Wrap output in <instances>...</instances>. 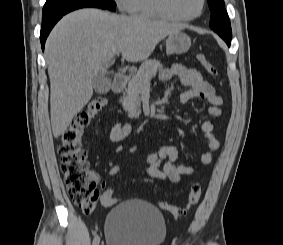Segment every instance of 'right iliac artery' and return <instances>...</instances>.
<instances>
[{
  "instance_id": "1",
  "label": "right iliac artery",
  "mask_w": 283,
  "mask_h": 245,
  "mask_svg": "<svg viewBox=\"0 0 283 245\" xmlns=\"http://www.w3.org/2000/svg\"><path fill=\"white\" fill-rule=\"evenodd\" d=\"M99 242H100L99 236H95V238L93 240V245H99Z\"/></svg>"
}]
</instances>
